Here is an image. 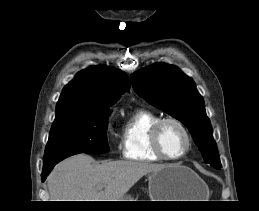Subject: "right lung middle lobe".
I'll return each mask as SVG.
<instances>
[{"mask_svg":"<svg viewBox=\"0 0 259 211\" xmlns=\"http://www.w3.org/2000/svg\"><path fill=\"white\" fill-rule=\"evenodd\" d=\"M109 110L72 109L56 115L45 149L44 166L78 153H106Z\"/></svg>","mask_w":259,"mask_h":211,"instance_id":"obj_1","label":"right lung middle lobe"}]
</instances>
